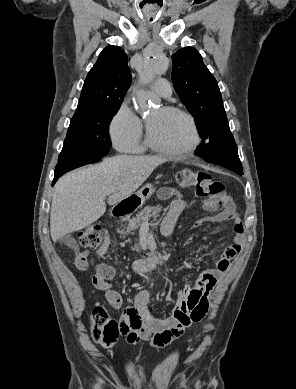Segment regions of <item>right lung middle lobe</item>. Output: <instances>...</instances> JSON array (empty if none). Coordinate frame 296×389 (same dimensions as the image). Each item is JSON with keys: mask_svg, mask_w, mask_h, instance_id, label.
Listing matches in <instances>:
<instances>
[{"mask_svg": "<svg viewBox=\"0 0 296 389\" xmlns=\"http://www.w3.org/2000/svg\"><path fill=\"white\" fill-rule=\"evenodd\" d=\"M118 107L98 109L71 120L55 170L96 163L110 150L109 124Z\"/></svg>", "mask_w": 296, "mask_h": 389, "instance_id": "obj_1", "label": "right lung middle lobe"}]
</instances>
